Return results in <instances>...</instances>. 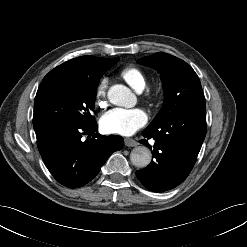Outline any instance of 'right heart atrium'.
<instances>
[{
  "label": "right heart atrium",
  "instance_id": "1",
  "mask_svg": "<svg viewBox=\"0 0 247 247\" xmlns=\"http://www.w3.org/2000/svg\"><path fill=\"white\" fill-rule=\"evenodd\" d=\"M106 89L107 80L103 79L96 88V104L101 108L106 106Z\"/></svg>",
  "mask_w": 247,
  "mask_h": 247
}]
</instances>
